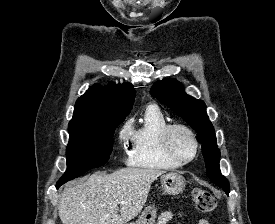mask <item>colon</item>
<instances>
[{"instance_id":"colon-1","label":"colon","mask_w":275,"mask_h":224,"mask_svg":"<svg viewBox=\"0 0 275 224\" xmlns=\"http://www.w3.org/2000/svg\"><path fill=\"white\" fill-rule=\"evenodd\" d=\"M195 208L200 212H211L216 206V199L207 190L196 188L192 193Z\"/></svg>"}]
</instances>
